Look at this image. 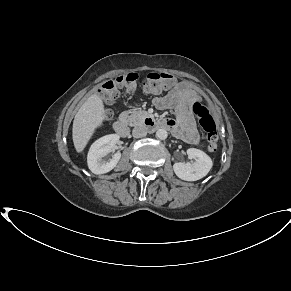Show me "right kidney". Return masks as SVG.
<instances>
[{"label":"right kidney","mask_w":291,"mask_h":291,"mask_svg":"<svg viewBox=\"0 0 291 291\" xmlns=\"http://www.w3.org/2000/svg\"><path fill=\"white\" fill-rule=\"evenodd\" d=\"M119 141V135L110 134L96 140L90 147L87 163L89 169L94 174H105L114 169L121 158V153L116 152L112 158L104 159V157L112 152L114 146Z\"/></svg>","instance_id":"1"}]
</instances>
